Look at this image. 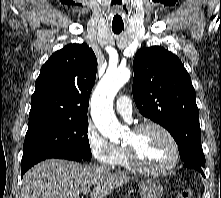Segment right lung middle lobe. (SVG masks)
<instances>
[{"label": "right lung middle lobe", "mask_w": 221, "mask_h": 198, "mask_svg": "<svg viewBox=\"0 0 221 198\" xmlns=\"http://www.w3.org/2000/svg\"><path fill=\"white\" fill-rule=\"evenodd\" d=\"M88 118H44L29 122L21 167L51 153H69L88 160Z\"/></svg>", "instance_id": "obj_1"}]
</instances>
